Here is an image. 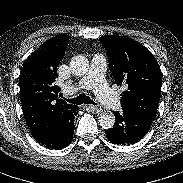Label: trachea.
<instances>
[{
    "instance_id": "1",
    "label": "trachea",
    "mask_w": 183,
    "mask_h": 183,
    "mask_svg": "<svg viewBox=\"0 0 183 183\" xmlns=\"http://www.w3.org/2000/svg\"><path fill=\"white\" fill-rule=\"evenodd\" d=\"M69 103L72 104H94L96 105V103L91 100V98L89 96H86L85 94H80L79 96L72 98V99H66Z\"/></svg>"
}]
</instances>
